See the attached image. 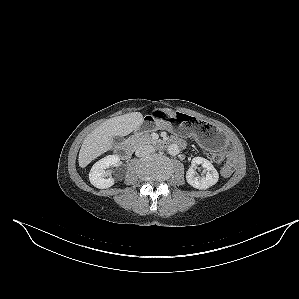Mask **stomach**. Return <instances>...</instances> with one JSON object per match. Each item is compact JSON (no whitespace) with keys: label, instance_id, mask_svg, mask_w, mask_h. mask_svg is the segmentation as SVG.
I'll return each mask as SVG.
<instances>
[{"label":"stomach","instance_id":"0dacf381","mask_svg":"<svg viewBox=\"0 0 299 299\" xmlns=\"http://www.w3.org/2000/svg\"><path fill=\"white\" fill-rule=\"evenodd\" d=\"M174 127L180 133L192 135L207 150L220 149L226 140L225 134L212 124L196 123L192 115L183 112L166 113L161 109H155L146 117L138 130L147 133L157 129L172 130Z\"/></svg>","mask_w":299,"mask_h":299}]
</instances>
